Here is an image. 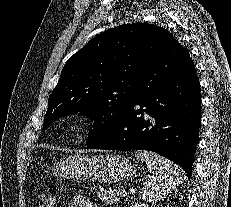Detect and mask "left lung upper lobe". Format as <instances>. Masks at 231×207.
I'll return each instance as SVG.
<instances>
[{
    "instance_id": "left-lung-upper-lobe-1",
    "label": "left lung upper lobe",
    "mask_w": 231,
    "mask_h": 207,
    "mask_svg": "<svg viewBox=\"0 0 231 207\" xmlns=\"http://www.w3.org/2000/svg\"><path fill=\"white\" fill-rule=\"evenodd\" d=\"M175 41L168 30L148 23L124 24L91 39L62 69L42 130L80 112L95 121L87 147L103 141L137 99L142 74Z\"/></svg>"
}]
</instances>
